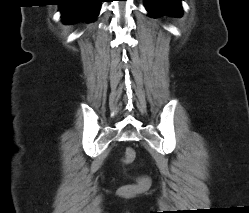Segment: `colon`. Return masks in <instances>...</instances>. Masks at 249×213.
<instances>
[{
    "label": "colon",
    "instance_id": "obj_1",
    "mask_svg": "<svg viewBox=\"0 0 249 213\" xmlns=\"http://www.w3.org/2000/svg\"><path fill=\"white\" fill-rule=\"evenodd\" d=\"M135 157V152L131 148H127L124 152V163H130L133 161ZM135 192V188L133 186H124L120 189V194L127 196Z\"/></svg>",
    "mask_w": 249,
    "mask_h": 213
}]
</instances>
